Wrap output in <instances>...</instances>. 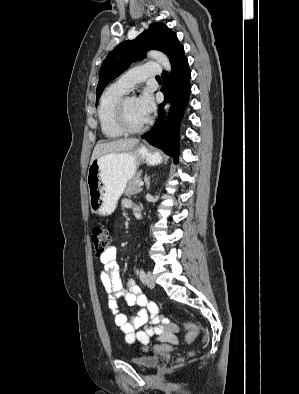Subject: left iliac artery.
Masks as SVG:
<instances>
[{
  "mask_svg": "<svg viewBox=\"0 0 299 394\" xmlns=\"http://www.w3.org/2000/svg\"><path fill=\"white\" fill-rule=\"evenodd\" d=\"M139 277H140V280H141V281H144V280H145V272H144L143 269H140Z\"/></svg>",
  "mask_w": 299,
  "mask_h": 394,
  "instance_id": "obj_1",
  "label": "left iliac artery"
}]
</instances>
